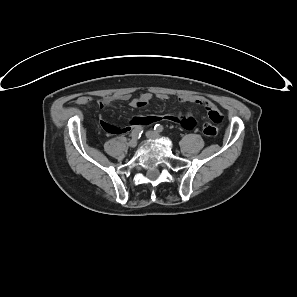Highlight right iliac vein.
<instances>
[{
  "instance_id": "1",
  "label": "right iliac vein",
  "mask_w": 297,
  "mask_h": 297,
  "mask_svg": "<svg viewBox=\"0 0 297 297\" xmlns=\"http://www.w3.org/2000/svg\"><path fill=\"white\" fill-rule=\"evenodd\" d=\"M137 145V139L133 138L130 142H129V146L130 147H135Z\"/></svg>"
}]
</instances>
